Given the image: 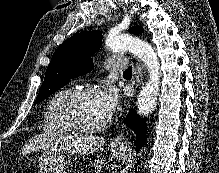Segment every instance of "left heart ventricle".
I'll return each instance as SVG.
<instances>
[{"label":"left heart ventricle","mask_w":219,"mask_h":173,"mask_svg":"<svg viewBox=\"0 0 219 173\" xmlns=\"http://www.w3.org/2000/svg\"><path fill=\"white\" fill-rule=\"evenodd\" d=\"M75 120L82 126H95L101 123L108 114L104 110L98 93L85 95L73 106Z\"/></svg>","instance_id":"obj_1"}]
</instances>
